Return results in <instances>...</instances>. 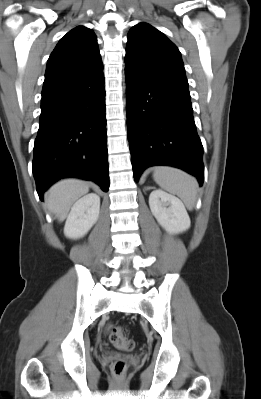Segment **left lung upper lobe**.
<instances>
[{
  "instance_id": "5c2ea615",
  "label": "left lung upper lobe",
  "mask_w": 261,
  "mask_h": 399,
  "mask_svg": "<svg viewBox=\"0 0 261 399\" xmlns=\"http://www.w3.org/2000/svg\"><path fill=\"white\" fill-rule=\"evenodd\" d=\"M125 69L146 80L188 88L180 51L163 33L145 22L128 33Z\"/></svg>"
}]
</instances>
